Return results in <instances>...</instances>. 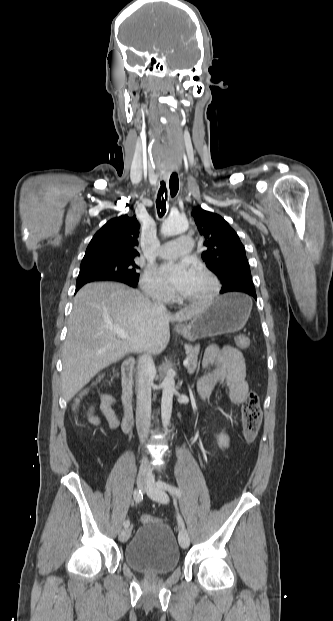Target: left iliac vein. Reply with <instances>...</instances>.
I'll return each mask as SVG.
<instances>
[{"label":"left iliac vein","mask_w":333,"mask_h":621,"mask_svg":"<svg viewBox=\"0 0 333 621\" xmlns=\"http://www.w3.org/2000/svg\"><path fill=\"white\" fill-rule=\"evenodd\" d=\"M146 490H147V494L149 495V497L153 499L154 501L164 503V504L168 502V497L166 493L164 492L163 489L157 486V483L155 482V479L151 473H149L148 478H147ZM178 540H179L180 546L183 549L188 548L190 544V538H189L187 531L184 528L180 530Z\"/></svg>","instance_id":"left-iliac-vein-1"}]
</instances>
